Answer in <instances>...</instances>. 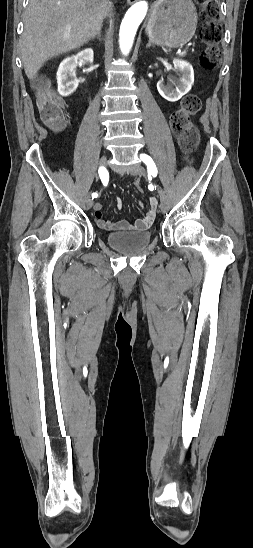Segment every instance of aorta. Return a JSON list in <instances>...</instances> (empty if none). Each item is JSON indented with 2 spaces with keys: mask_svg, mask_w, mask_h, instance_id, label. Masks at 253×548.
Masks as SVG:
<instances>
[{
  "mask_svg": "<svg viewBox=\"0 0 253 548\" xmlns=\"http://www.w3.org/2000/svg\"><path fill=\"white\" fill-rule=\"evenodd\" d=\"M148 4L146 1H138L126 12L119 31L120 49L127 55L132 48L137 29L146 16Z\"/></svg>",
  "mask_w": 253,
  "mask_h": 548,
  "instance_id": "1",
  "label": "aorta"
}]
</instances>
